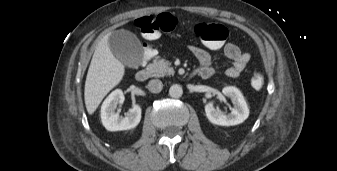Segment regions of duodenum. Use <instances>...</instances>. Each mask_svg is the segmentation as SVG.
Listing matches in <instances>:
<instances>
[{"instance_id":"obj_1","label":"duodenum","mask_w":337,"mask_h":171,"mask_svg":"<svg viewBox=\"0 0 337 171\" xmlns=\"http://www.w3.org/2000/svg\"><path fill=\"white\" fill-rule=\"evenodd\" d=\"M193 77L194 76H199L201 78L206 77V73L204 71H202L201 69H197L195 70L192 74ZM150 76V69L149 68H143L141 70H139L136 74V79L138 81H145L149 78Z\"/></svg>"}]
</instances>
